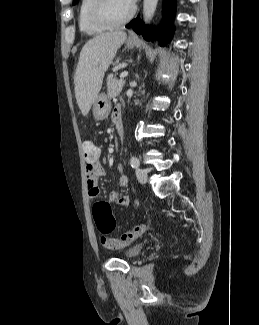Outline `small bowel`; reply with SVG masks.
Masks as SVG:
<instances>
[{
	"instance_id": "1",
	"label": "small bowel",
	"mask_w": 259,
	"mask_h": 325,
	"mask_svg": "<svg viewBox=\"0 0 259 325\" xmlns=\"http://www.w3.org/2000/svg\"><path fill=\"white\" fill-rule=\"evenodd\" d=\"M117 114H121V107L116 106L112 113V119ZM100 151L98 149V156L94 160H86V177H87V190L90 198H95L99 194L98 179L105 175V170L99 161ZM128 185V178L125 175H121L119 178V186L125 188ZM109 200L117 203L120 206H126L129 204L130 198L127 195L121 194L119 191H112L109 194Z\"/></svg>"
}]
</instances>
